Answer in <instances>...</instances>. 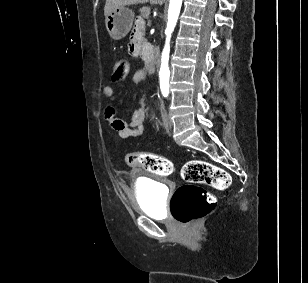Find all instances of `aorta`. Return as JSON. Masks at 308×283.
<instances>
[{
  "mask_svg": "<svg viewBox=\"0 0 308 283\" xmlns=\"http://www.w3.org/2000/svg\"><path fill=\"white\" fill-rule=\"evenodd\" d=\"M181 5H182V0H170L168 9V21L165 30L166 44L162 52L161 66L159 71L160 85L163 88L164 87L167 88L169 86L170 70L168 62H169V50H170V38L176 26Z\"/></svg>",
  "mask_w": 308,
  "mask_h": 283,
  "instance_id": "1",
  "label": "aorta"
}]
</instances>
